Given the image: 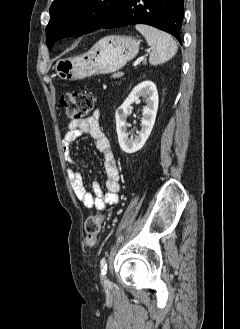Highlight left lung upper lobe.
<instances>
[{
    "label": "left lung upper lobe",
    "mask_w": 240,
    "mask_h": 329,
    "mask_svg": "<svg viewBox=\"0 0 240 329\" xmlns=\"http://www.w3.org/2000/svg\"><path fill=\"white\" fill-rule=\"evenodd\" d=\"M123 0H54L46 27V42L53 44L64 37H77L99 29Z\"/></svg>",
    "instance_id": "5c2ea615"
}]
</instances>
